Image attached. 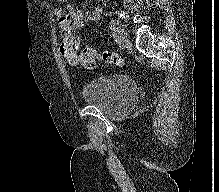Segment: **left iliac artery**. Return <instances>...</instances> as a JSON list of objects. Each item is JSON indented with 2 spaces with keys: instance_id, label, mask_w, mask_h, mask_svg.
Wrapping results in <instances>:
<instances>
[{
  "instance_id": "1",
  "label": "left iliac artery",
  "mask_w": 219,
  "mask_h": 192,
  "mask_svg": "<svg viewBox=\"0 0 219 192\" xmlns=\"http://www.w3.org/2000/svg\"><path fill=\"white\" fill-rule=\"evenodd\" d=\"M112 37L114 38V40H115L116 42L119 41V38H118V36H117V34H116V32H115V29H114V32H112Z\"/></svg>"
}]
</instances>
